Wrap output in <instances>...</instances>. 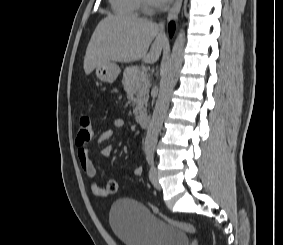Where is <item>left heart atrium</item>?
Here are the masks:
<instances>
[{
	"instance_id": "obj_1",
	"label": "left heart atrium",
	"mask_w": 283,
	"mask_h": 245,
	"mask_svg": "<svg viewBox=\"0 0 283 245\" xmlns=\"http://www.w3.org/2000/svg\"><path fill=\"white\" fill-rule=\"evenodd\" d=\"M154 4L156 5H166L168 2H170L171 0H151Z\"/></svg>"
}]
</instances>
